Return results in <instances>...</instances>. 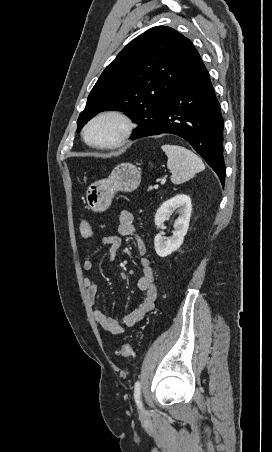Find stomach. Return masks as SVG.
Masks as SVG:
<instances>
[{
  "label": "stomach",
  "instance_id": "1",
  "mask_svg": "<svg viewBox=\"0 0 272 452\" xmlns=\"http://www.w3.org/2000/svg\"><path fill=\"white\" fill-rule=\"evenodd\" d=\"M141 182V171L131 163L117 165L108 178L89 185L85 192L87 207L95 212L105 211L118 191L132 192Z\"/></svg>",
  "mask_w": 272,
  "mask_h": 452
}]
</instances>
